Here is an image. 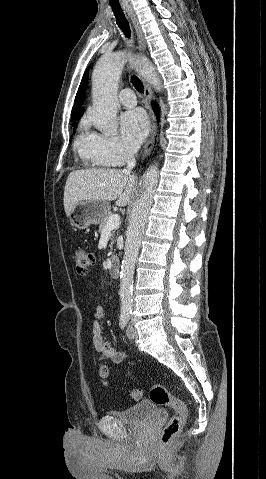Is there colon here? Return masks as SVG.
Here are the masks:
<instances>
[{
	"label": "colon",
	"mask_w": 266,
	"mask_h": 479,
	"mask_svg": "<svg viewBox=\"0 0 266 479\" xmlns=\"http://www.w3.org/2000/svg\"><path fill=\"white\" fill-rule=\"evenodd\" d=\"M73 261L75 263L76 272L79 275L89 274L95 262L94 256L82 248L74 249ZM108 373V367L103 363L100 364L99 375L104 380V384H106ZM142 397L143 393L139 389H134L131 392V398L134 401H138L142 399ZM149 397L150 400L157 405L170 407L175 412L160 435V442L163 445H168L179 434L182 426L186 422L189 413L188 408L181 399L170 394L168 390L160 384H155L151 388Z\"/></svg>",
	"instance_id": "obj_1"
}]
</instances>
